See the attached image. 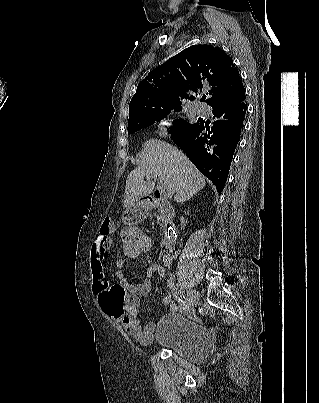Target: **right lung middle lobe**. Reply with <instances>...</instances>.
Returning a JSON list of instances; mask_svg holds the SVG:
<instances>
[{"mask_svg": "<svg viewBox=\"0 0 319 403\" xmlns=\"http://www.w3.org/2000/svg\"><path fill=\"white\" fill-rule=\"evenodd\" d=\"M171 110L180 112L182 110V106L177 104H168L150 109L142 116L128 121V134H132L141 128L150 126L154 124V121L160 122V120L165 118L171 112ZM173 125L174 126L171 132L176 133L187 129L192 124L182 119H177L174 121Z\"/></svg>", "mask_w": 319, "mask_h": 403, "instance_id": "obj_1", "label": "right lung middle lobe"}]
</instances>
